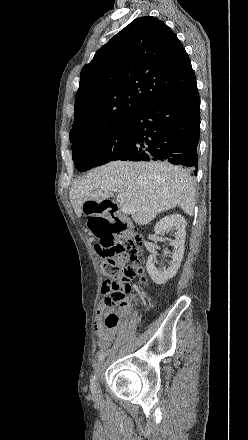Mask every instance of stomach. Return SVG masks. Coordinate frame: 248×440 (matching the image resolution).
Listing matches in <instances>:
<instances>
[{
    "mask_svg": "<svg viewBox=\"0 0 248 440\" xmlns=\"http://www.w3.org/2000/svg\"><path fill=\"white\" fill-rule=\"evenodd\" d=\"M104 210V204H85L83 216L86 218V230L91 232V236L96 237L97 241H117L118 235L111 218H103Z\"/></svg>",
    "mask_w": 248,
    "mask_h": 440,
    "instance_id": "0dacf381",
    "label": "stomach"
}]
</instances>
